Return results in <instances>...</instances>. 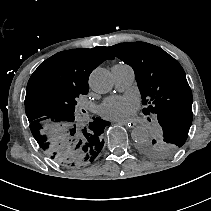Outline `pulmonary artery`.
I'll use <instances>...</instances> for the list:
<instances>
[{
    "label": "pulmonary artery",
    "instance_id": "pulmonary-artery-1",
    "mask_svg": "<svg viewBox=\"0 0 211 211\" xmlns=\"http://www.w3.org/2000/svg\"><path fill=\"white\" fill-rule=\"evenodd\" d=\"M111 70L115 78V85L117 89L125 90L134 83L135 72L130 65L123 63L115 64Z\"/></svg>",
    "mask_w": 211,
    "mask_h": 211
}]
</instances>
